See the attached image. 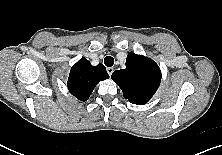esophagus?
Wrapping results in <instances>:
<instances>
[{"label": "esophagus", "mask_w": 222, "mask_h": 155, "mask_svg": "<svg viewBox=\"0 0 222 155\" xmlns=\"http://www.w3.org/2000/svg\"><path fill=\"white\" fill-rule=\"evenodd\" d=\"M113 71H114V69L112 67L107 68V73H108L109 76L112 75Z\"/></svg>", "instance_id": "1"}]
</instances>
